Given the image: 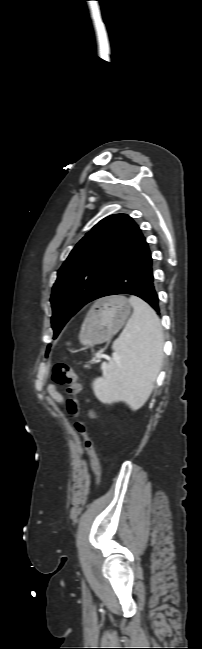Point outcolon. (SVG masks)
<instances>
[{"instance_id":"colon-1","label":"colon","mask_w":202,"mask_h":649,"mask_svg":"<svg viewBox=\"0 0 202 649\" xmlns=\"http://www.w3.org/2000/svg\"><path fill=\"white\" fill-rule=\"evenodd\" d=\"M52 379L56 384L66 386V392L69 395L67 411L71 416L76 418L75 429L83 437L85 450L89 456L91 469L95 477V483H97L100 474V463L95 451L94 442L88 432V424L80 418L81 402L79 393L81 386L77 381V376L70 365L58 363L53 368Z\"/></svg>"}]
</instances>
